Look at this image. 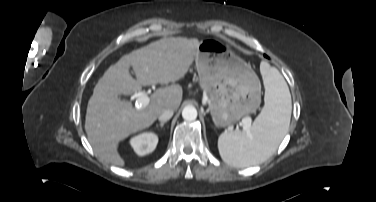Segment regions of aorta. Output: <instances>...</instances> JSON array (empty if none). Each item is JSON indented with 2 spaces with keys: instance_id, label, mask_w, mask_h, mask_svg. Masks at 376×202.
<instances>
[{
  "instance_id": "762f6f07",
  "label": "aorta",
  "mask_w": 376,
  "mask_h": 202,
  "mask_svg": "<svg viewBox=\"0 0 376 202\" xmlns=\"http://www.w3.org/2000/svg\"><path fill=\"white\" fill-rule=\"evenodd\" d=\"M182 117L184 120L193 121L197 118V110L192 105H187L182 110Z\"/></svg>"
}]
</instances>
